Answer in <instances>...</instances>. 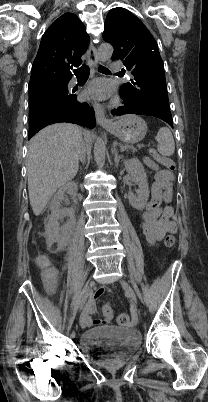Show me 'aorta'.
I'll list each match as a JSON object with an SVG mask.
<instances>
[{
	"label": "aorta",
	"mask_w": 208,
	"mask_h": 402,
	"mask_svg": "<svg viewBox=\"0 0 208 402\" xmlns=\"http://www.w3.org/2000/svg\"><path fill=\"white\" fill-rule=\"evenodd\" d=\"M113 54V48L110 46V44H101L99 46L97 52H96V60L97 62H107V60H110L111 56ZM94 158L95 162L99 164V166H103L105 162V142L102 140V138H97L95 144H94Z\"/></svg>",
	"instance_id": "obj_1"
}]
</instances>
